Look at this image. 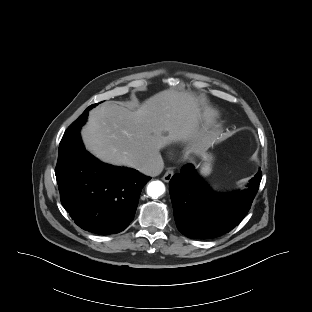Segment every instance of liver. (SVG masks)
<instances>
[{
	"label": "liver",
	"mask_w": 312,
	"mask_h": 312,
	"mask_svg": "<svg viewBox=\"0 0 312 312\" xmlns=\"http://www.w3.org/2000/svg\"><path fill=\"white\" fill-rule=\"evenodd\" d=\"M200 102L192 93L174 89L152 96L135 111L107 101L89 112L82 140L99 160L131 168L172 142L192 141L202 148L216 133L200 129Z\"/></svg>",
	"instance_id": "liver-1"
}]
</instances>
